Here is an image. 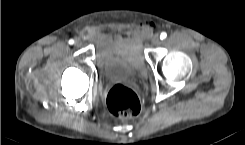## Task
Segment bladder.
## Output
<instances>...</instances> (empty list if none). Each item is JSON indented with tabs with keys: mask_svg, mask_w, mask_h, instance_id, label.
I'll list each match as a JSON object with an SVG mask.
<instances>
[{
	"mask_svg": "<svg viewBox=\"0 0 245 145\" xmlns=\"http://www.w3.org/2000/svg\"><path fill=\"white\" fill-rule=\"evenodd\" d=\"M95 62L106 78H115L145 68L140 42L131 34L109 32L98 43Z\"/></svg>",
	"mask_w": 245,
	"mask_h": 145,
	"instance_id": "31cf9c89",
	"label": "bladder"
}]
</instances>
